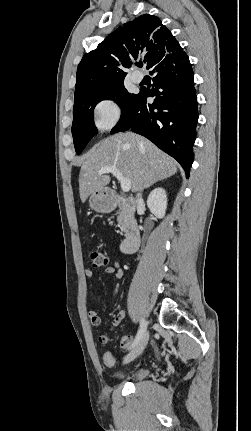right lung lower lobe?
Here are the masks:
<instances>
[{"instance_id":"1","label":"right lung lower lobe","mask_w":251,"mask_h":431,"mask_svg":"<svg viewBox=\"0 0 251 431\" xmlns=\"http://www.w3.org/2000/svg\"><path fill=\"white\" fill-rule=\"evenodd\" d=\"M155 74L153 89L141 88L128 103L111 133L131 129L175 158L189 176L198 120L194 76L188 56L180 47L148 69ZM147 97H155L147 104Z\"/></svg>"}]
</instances>
